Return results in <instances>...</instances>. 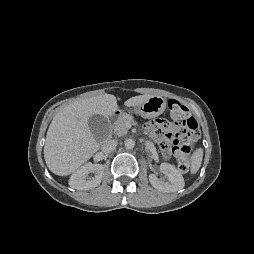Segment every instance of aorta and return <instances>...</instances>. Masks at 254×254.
<instances>
[{
  "label": "aorta",
  "mask_w": 254,
  "mask_h": 254,
  "mask_svg": "<svg viewBox=\"0 0 254 254\" xmlns=\"http://www.w3.org/2000/svg\"><path fill=\"white\" fill-rule=\"evenodd\" d=\"M124 145L126 149H133L135 146V141L131 138H128L124 141Z\"/></svg>",
  "instance_id": "obj_1"
}]
</instances>
